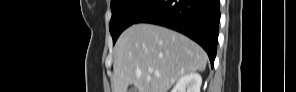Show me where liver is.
I'll return each mask as SVG.
<instances>
[{"mask_svg":"<svg viewBox=\"0 0 296 92\" xmlns=\"http://www.w3.org/2000/svg\"><path fill=\"white\" fill-rule=\"evenodd\" d=\"M114 52L112 92H126L129 85L137 92H167L184 75L204 71L208 59L188 37L145 23L127 28Z\"/></svg>","mask_w":296,"mask_h":92,"instance_id":"1","label":"liver"}]
</instances>
